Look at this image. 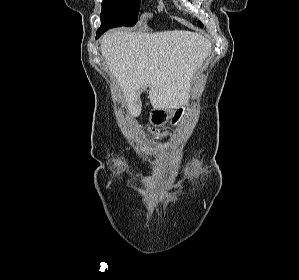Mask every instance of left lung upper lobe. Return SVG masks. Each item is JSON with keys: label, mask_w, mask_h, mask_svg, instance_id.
<instances>
[{"label": "left lung upper lobe", "mask_w": 299, "mask_h": 280, "mask_svg": "<svg viewBox=\"0 0 299 280\" xmlns=\"http://www.w3.org/2000/svg\"><path fill=\"white\" fill-rule=\"evenodd\" d=\"M198 25L200 26V27H203V24L199 21L198 22Z\"/></svg>", "instance_id": "5c2ea615"}]
</instances>
